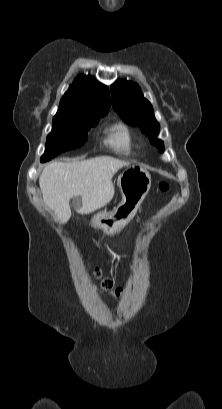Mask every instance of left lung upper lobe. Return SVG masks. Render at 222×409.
I'll return each instance as SVG.
<instances>
[{"label": "left lung upper lobe", "mask_w": 222, "mask_h": 409, "mask_svg": "<svg viewBox=\"0 0 222 409\" xmlns=\"http://www.w3.org/2000/svg\"><path fill=\"white\" fill-rule=\"evenodd\" d=\"M112 105L124 121L140 126L143 133L149 136L151 143L164 151L163 142L157 139L159 124L155 120L152 106L146 100L140 88L133 82L116 81L111 87Z\"/></svg>", "instance_id": "1"}]
</instances>
